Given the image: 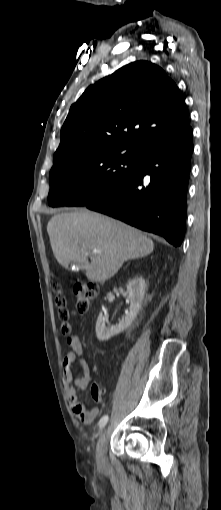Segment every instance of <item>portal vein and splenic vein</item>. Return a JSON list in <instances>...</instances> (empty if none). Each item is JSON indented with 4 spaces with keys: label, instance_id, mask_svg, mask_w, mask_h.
<instances>
[{
    "label": "portal vein and splenic vein",
    "instance_id": "1",
    "mask_svg": "<svg viewBox=\"0 0 221 510\" xmlns=\"http://www.w3.org/2000/svg\"><path fill=\"white\" fill-rule=\"evenodd\" d=\"M94 253L98 252L97 250H93Z\"/></svg>",
    "mask_w": 221,
    "mask_h": 510
}]
</instances>
